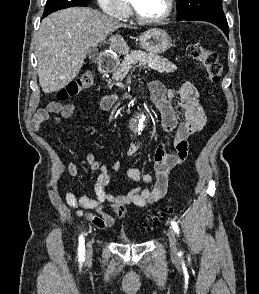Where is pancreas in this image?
<instances>
[{
	"label": "pancreas",
	"instance_id": "cf45deb5",
	"mask_svg": "<svg viewBox=\"0 0 259 294\" xmlns=\"http://www.w3.org/2000/svg\"><path fill=\"white\" fill-rule=\"evenodd\" d=\"M138 63L140 66L151 68L159 73H171L177 70V67L166 58L143 51H132L119 64L112 79L115 81L123 80L130 70L133 71V65Z\"/></svg>",
	"mask_w": 259,
	"mask_h": 294
}]
</instances>
